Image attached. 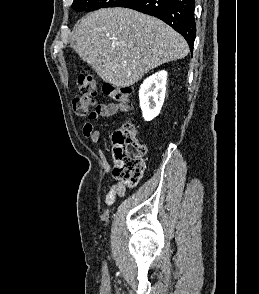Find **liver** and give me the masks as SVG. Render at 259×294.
Wrapping results in <instances>:
<instances>
[{"instance_id":"obj_1","label":"liver","mask_w":259,"mask_h":294,"mask_svg":"<svg viewBox=\"0 0 259 294\" xmlns=\"http://www.w3.org/2000/svg\"><path fill=\"white\" fill-rule=\"evenodd\" d=\"M70 46L105 82L131 86L161 64L184 58L185 39L163 21L127 8L85 15L72 31Z\"/></svg>"}]
</instances>
